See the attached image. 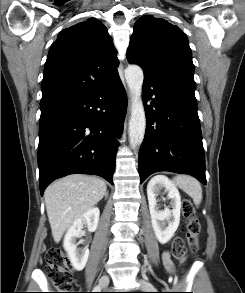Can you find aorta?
<instances>
[{
  "label": "aorta",
  "instance_id": "obj_1",
  "mask_svg": "<svg viewBox=\"0 0 245 293\" xmlns=\"http://www.w3.org/2000/svg\"><path fill=\"white\" fill-rule=\"evenodd\" d=\"M125 79L132 95L131 117L129 121V142L132 148L139 146L145 134L146 118L142 101L143 70L138 65L125 69Z\"/></svg>",
  "mask_w": 245,
  "mask_h": 293
}]
</instances>
